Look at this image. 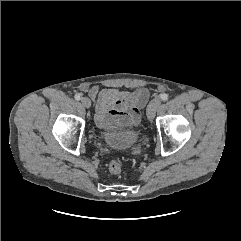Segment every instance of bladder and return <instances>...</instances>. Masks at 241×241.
<instances>
[{
    "mask_svg": "<svg viewBox=\"0 0 241 241\" xmlns=\"http://www.w3.org/2000/svg\"><path fill=\"white\" fill-rule=\"evenodd\" d=\"M138 139V133L135 131L125 133H108L104 135V140L110 147L119 150L131 148Z\"/></svg>",
    "mask_w": 241,
    "mask_h": 241,
    "instance_id": "1",
    "label": "bladder"
}]
</instances>
